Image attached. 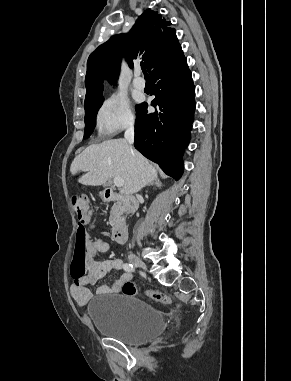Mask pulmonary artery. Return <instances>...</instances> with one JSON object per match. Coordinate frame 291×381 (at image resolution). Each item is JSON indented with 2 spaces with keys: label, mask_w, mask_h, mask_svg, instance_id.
Masks as SVG:
<instances>
[{
  "label": "pulmonary artery",
  "mask_w": 291,
  "mask_h": 381,
  "mask_svg": "<svg viewBox=\"0 0 291 381\" xmlns=\"http://www.w3.org/2000/svg\"><path fill=\"white\" fill-rule=\"evenodd\" d=\"M133 86L138 90H143L145 88V81L140 76V71H136L133 78Z\"/></svg>",
  "instance_id": "1"
}]
</instances>
